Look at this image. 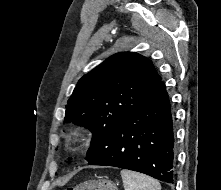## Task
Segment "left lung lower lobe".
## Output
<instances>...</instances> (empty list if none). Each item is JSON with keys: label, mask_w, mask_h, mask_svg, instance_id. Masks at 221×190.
Listing matches in <instances>:
<instances>
[{"label": "left lung lower lobe", "mask_w": 221, "mask_h": 190, "mask_svg": "<svg viewBox=\"0 0 221 190\" xmlns=\"http://www.w3.org/2000/svg\"><path fill=\"white\" fill-rule=\"evenodd\" d=\"M174 141L170 100L160 81L143 103L120 121L107 147L88 164L134 170L173 183Z\"/></svg>", "instance_id": "1"}]
</instances>
